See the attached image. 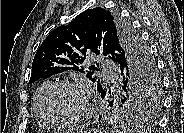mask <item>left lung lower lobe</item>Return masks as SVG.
<instances>
[{
  "label": "left lung lower lobe",
  "mask_w": 184,
  "mask_h": 133,
  "mask_svg": "<svg viewBox=\"0 0 184 133\" xmlns=\"http://www.w3.org/2000/svg\"><path fill=\"white\" fill-rule=\"evenodd\" d=\"M120 69V68H119ZM121 70V69H120ZM122 83V82H121ZM107 95L106 90L101 92V97L105 98V96ZM110 112L112 113V109H110ZM126 118V117H125ZM130 119L131 122H136L138 120H140L141 118H137V117H128Z\"/></svg>",
  "instance_id": "0a47b994"
}]
</instances>
